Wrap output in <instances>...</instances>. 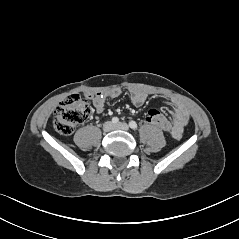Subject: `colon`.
Returning <instances> with one entry per match:
<instances>
[{
  "label": "colon",
  "instance_id": "1",
  "mask_svg": "<svg viewBox=\"0 0 239 239\" xmlns=\"http://www.w3.org/2000/svg\"><path fill=\"white\" fill-rule=\"evenodd\" d=\"M90 115L91 106L87 99L76 94L67 96L58 104L55 110L54 128L61 135H70ZM143 120L147 126H156L159 130H167L170 127L168 117L155 106L145 113Z\"/></svg>",
  "mask_w": 239,
  "mask_h": 239
}]
</instances>
